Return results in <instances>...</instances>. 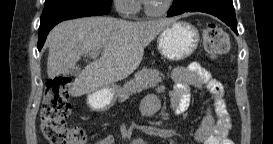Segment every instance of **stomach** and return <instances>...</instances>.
<instances>
[{
    "instance_id": "1",
    "label": "stomach",
    "mask_w": 273,
    "mask_h": 144,
    "mask_svg": "<svg viewBox=\"0 0 273 144\" xmlns=\"http://www.w3.org/2000/svg\"><path fill=\"white\" fill-rule=\"evenodd\" d=\"M199 33L196 27L188 22L175 21L166 26L157 38L160 54L171 61H179L189 57L197 48ZM118 86L89 93L88 106L95 111L110 109L118 97Z\"/></svg>"
}]
</instances>
